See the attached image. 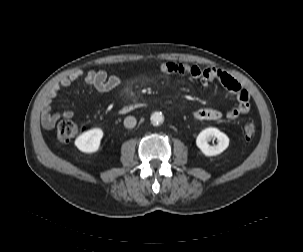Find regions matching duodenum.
Wrapping results in <instances>:
<instances>
[{
	"label": "duodenum",
	"instance_id": "obj_1",
	"mask_svg": "<svg viewBox=\"0 0 303 252\" xmlns=\"http://www.w3.org/2000/svg\"><path fill=\"white\" fill-rule=\"evenodd\" d=\"M145 105V102L143 101H134L130 104H127V105H124L122 107L119 108V113L120 114H126L128 113L129 111L135 109V108H138V107H141V106H144Z\"/></svg>",
	"mask_w": 303,
	"mask_h": 252
}]
</instances>
